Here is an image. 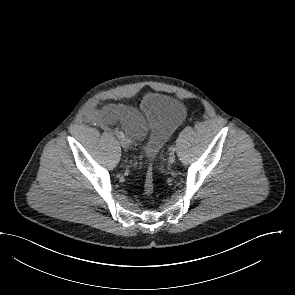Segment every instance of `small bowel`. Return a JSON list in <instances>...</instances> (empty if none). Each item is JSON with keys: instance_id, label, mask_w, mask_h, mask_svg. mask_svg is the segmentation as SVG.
<instances>
[{"instance_id": "1", "label": "small bowel", "mask_w": 295, "mask_h": 295, "mask_svg": "<svg viewBox=\"0 0 295 295\" xmlns=\"http://www.w3.org/2000/svg\"><path fill=\"white\" fill-rule=\"evenodd\" d=\"M89 118L105 129L119 122L129 136L137 139L145 134L147 128L146 119L139 111L119 105L94 109Z\"/></svg>"}]
</instances>
